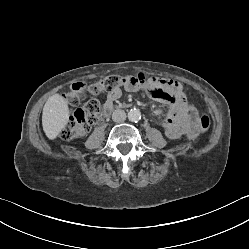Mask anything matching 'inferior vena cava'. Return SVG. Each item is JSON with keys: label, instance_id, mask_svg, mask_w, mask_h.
Returning <instances> with one entry per match:
<instances>
[{"label": "inferior vena cava", "instance_id": "inferior-vena-cava-1", "mask_svg": "<svg viewBox=\"0 0 249 249\" xmlns=\"http://www.w3.org/2000/svg\"><path fill=\"white\" fill-rule=\"evenodd\" d=\"M126 119V113L124 110H121V109H117V110H114L113 114H112V120L114 122H123L125 121Z\"/></svg>", "mask_w": 249, "mask_h": 249}]
</instances>
